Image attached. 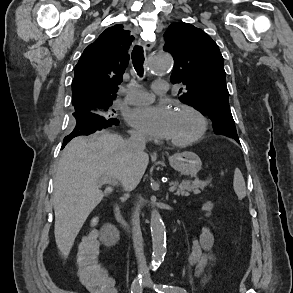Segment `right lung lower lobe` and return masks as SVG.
<instances>
[{"mask_svg":"<svg viewBox=\"0 0 293 293\" xmlns=\"http://www.w3.org/2000/svg\"><path fill=\"white\" fill-rule=\"evenodd\" d=\"M73 131L64 138L62 149L74 137L79 135H88L96 130L107 128L112 125H118V121L114 118H106L102 115L92 112H74Z\"/></svg>","mask_w":293,"mask_h":293,"instance_id":"obj_1","label":"right lung lower lobe"}]
</instances>
